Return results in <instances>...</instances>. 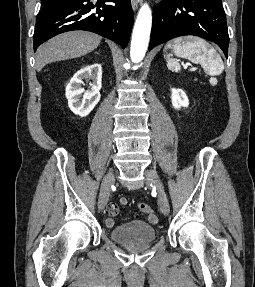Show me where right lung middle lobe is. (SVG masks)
<instances>
[{"mask_svg": "<svg viewBox=\"0 0 255 287\" xmlns=\"http://www.w3.org/2000/svg\"><path fill=\"white\" fill-rule=\"evenodd\" d=\"M54 1H57V0H41V4L44 6V5L51 3V2H54Z\"/></svg>", "mask_w": 255, "mask_h": 287, "instance_id": "right-lung-middle-lobe-1", "label": "right lung middle lobe"}]
</instances>
